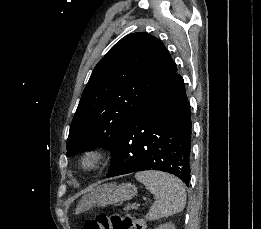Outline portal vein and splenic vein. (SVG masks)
<instances>
[{
    "instance_id": "1",
    "label": "portal vein and splenic vein",
    "mask_w": 261,
    "mask_h": 229,
    "mask_svg": "<svg viewBox=\"0 0 261 229\" xmlns=\"http://www.w3.org/2000/svg\"><path fill=\"white\" fill-rule=\"evenodd\" d=\"M133 207H134V208H140V207H141V204H140V203H134V204H133Z\"/></svg>"
}]
</instances>
